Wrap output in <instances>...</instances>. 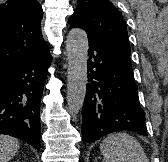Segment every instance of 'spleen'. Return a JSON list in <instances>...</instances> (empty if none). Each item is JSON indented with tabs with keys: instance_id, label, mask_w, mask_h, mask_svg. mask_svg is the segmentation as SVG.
Returning a JSON list of instances; mask_svg holds the SVG:
<instances>
[{
	"instance_id": "spleen-1",
	"label": "spleen",
	"mask_w": 168,
	"mask_h": 162,
	"mask_svg": "<svg viewBox=\"0 0 168 162\" xmlns=\"http://www.w3.org/2000/svg\"><path fill=\"white\" fill-rule=\"evenodd\" d=\"M100 151L105 162H149L137 139L124 132L106 137Z\"/></svg>"
}]
</instances>
